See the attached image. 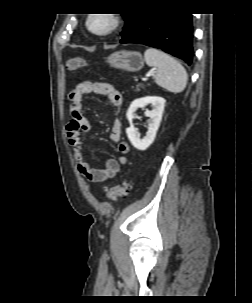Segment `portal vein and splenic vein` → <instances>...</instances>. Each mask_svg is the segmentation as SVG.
Instances as JSON below:
<instances>
[{
	"label": "portal vein and splenic vein",
	"instance_id": "obj_1",
	"mask_svg": "<svg viewBox=\"0 0 252 303\" xmlns=\"http://www.w3.org/2000/svg\"><path fill=\"white\" fill-rule=\"evenodd\" d=\"M152 75H153V73L150 72V73H148V74L146 75V77L142 78V80H143V81H146V80H147V77L152 76Z\"/></svg>",
	"mask_w": 252,
	"mask_h": 303
}]
</instances>
